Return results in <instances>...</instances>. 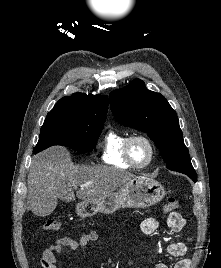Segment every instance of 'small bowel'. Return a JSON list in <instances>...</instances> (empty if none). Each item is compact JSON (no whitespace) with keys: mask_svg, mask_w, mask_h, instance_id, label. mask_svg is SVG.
Masks as SVG:
<instances>
[{"mask_svg":"<svg viewBox=\"0 0 221 268\" xmlns=\"http://www.w3.org/2000/svg\"><path fill=\"white\" fill-rule=\"evenodd\" d=\"M185 225L184 218L178 213L169 214L166 226L172 232H179ZM159 222L152 217L146 218L141 222L140 228L144 234H153L157 231ZM98 239V234L91 231L81 235L78 239L72 237H61L55 241L50 247L46 248L41 256V265L43 268H57V255L60 254L64 248L76 250L85 247L88 244L95 242ZM166 251L169 256L179 258L184 256L188 251V245L184 241L171 242L167 245ZM190 260L181 259L173 266V268H189ZM155 268H169L165 263H158Z\"/></svg>","mask_w":221,"mask_h":268,"instance_id":"obj_1","label":"small bowel"}]
</instances>
